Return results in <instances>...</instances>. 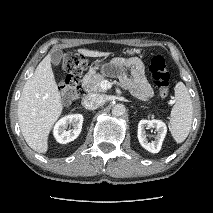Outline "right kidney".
<instances>
[{
    "label": "right kidney",
    "mask_w": 213,
    "mask_h": 213,
    "mask_svg": "<svg viewBox=\"0 0 213 213\" xmlns=\"http://www.w3.org/2000/svg\"><path fill=\"white\" fill-rule=\"evenodd\" d=\"M83 116L81 114L67 115L61 118L54 126V137L57 142L66 144L75 140L82 129ZM73 126L72 130H67L68 125Z\"/></svg>",
    "instance_id": "right-kidney-1"
}]
</instances>
